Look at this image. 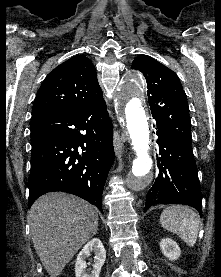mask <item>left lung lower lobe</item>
<instances>
[{"label": "left lung lower lobe", "mask_w": 221, "mask_h": 277, "mask_svg": "<svg viewBox=\"0 0 221 277\" xmlns=\"http://www.w3.org/2000/svg\"><path fill=\"white\" fill-rule=\"evenodd\" d=\"M154 126V125H153ZM159 174L146 195L144 212L155 203L186 204L202 215V194L191 145L156 125Z\"/></svg>", "instance_id": "obj_1"}]
</instances>
